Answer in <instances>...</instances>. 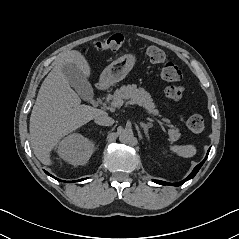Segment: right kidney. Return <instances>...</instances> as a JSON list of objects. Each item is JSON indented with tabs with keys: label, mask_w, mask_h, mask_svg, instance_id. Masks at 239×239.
Returning <instances> with one entry per match:
<instances>
[{
	"label": "right kidney",
	"mask_w": 239,
	"mask_h": 239,
	"mask_svg": "<svg viewBox=\"0 0 239 239\" xmlns=\"http://www.w3.org/2000/svg\"><path fill=\"white\" fill-rule=\"evenodd\" d=\"M94 151V143L79 133L64 137L58 145L59 156L72 165H85Z\"/></svg>",
	"instance_id": "1"
}]
</instances>
